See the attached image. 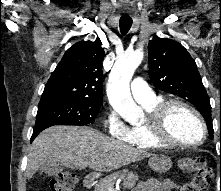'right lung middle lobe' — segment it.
<instances>
[{
  "mask_svg": "<svg viewBox=\"0 0 221 191\" xmlns=\"http://www.w3.org/2000/svg\"><path fill=\"white\" fill-rule=\"evenodd\" d=\"M103 101L63 100L39 103L36 121L46 120L53 125H86L94 123Z\"/></svg>",
  "mask_w": 221,
  "mask_h": 191,
  "instance_id": "1",
  "label": "right lung middle lobe"
}]
</instances>
